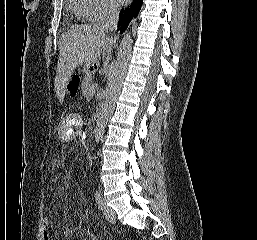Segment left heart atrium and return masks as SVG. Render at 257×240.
Instances as JSON below:
<instances>
[{
	"label": "left heart atrium",
	"instance_id": "39dd6f15",
	"mask_svg": "<svg viewBox=\"0 0 257 240\" xmlns=\"http://www.w3.org/2000/svg\"><path fill=\"white\" fill-rule=\"evenodd\" d=\"M129 0H118V2L119 3H121V4H125V3H127Z\"/></svg>",
	"mask_w": 257,
	"mask_h": 240
}]
</instances>
